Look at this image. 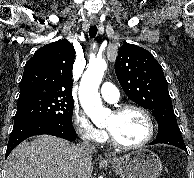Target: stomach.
Here are the masks:
<instances>
[{
    "label": "stomach",
    "mask_w": 194,
    "mask_h": 178,
    "mask_svg": "<svg viewBox=\"0 0 194 178\" xmlns=\"http://www.w3.org/2000/svg\"><path fill=\"white\" fill-rule=\"evenodd\" d=\"M108 161L115 167L121 178H158L162 163L158 155L148 149L133 151Z\"/></svg>",
    "instance_id": "1"
}]
</instances>
